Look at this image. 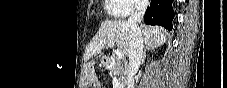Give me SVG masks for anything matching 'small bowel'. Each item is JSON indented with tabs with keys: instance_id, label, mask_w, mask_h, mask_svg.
<instances>
[{
	"instance_id": "obj_1",
	"label": "small bowel",
	"mask_w": 227,
	"mask_h": 88,
	"mask_svg": "<svg viewBox=\"0 0 227 88\" xmlns=\"http://www.w3.org/2000/svg\"><path fill=\"white\" fill-rule=\"evenodd\" d=\"M97 88H102V86L100 84H96Z\"/></svg>"
}]
</instances>
